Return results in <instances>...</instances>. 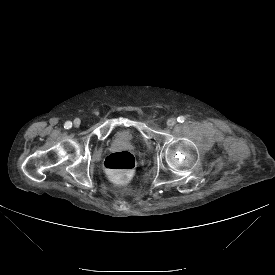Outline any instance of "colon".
<instances>
[{
  "label": "colon",
  "instance_id": "colon-1",
  "mask_svg": "<svg viewBox=\"0 0 275 275\" xmlns=\"http://www.w3.org/2000/svg\"><path fill=\"white\" fill-rule=\"evenodd\" d=\"M104 168L119 182H127L133 175L135 158L129 151H117L105 158Z\"/></svg>",
  "mask_w": 275,
  "mask_h": 275
}]
</instances>
